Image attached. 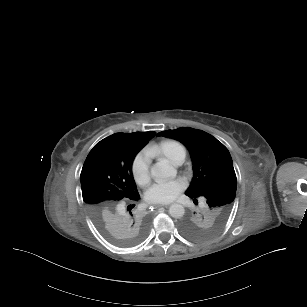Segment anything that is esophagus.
<instances>
[{
	"instance_id": "obj_1",
	"label": "esophagus",
	"mask_w": 307,
	"mask_h": 307,
	"mask_svg": "<svg viewBox=\"0 0 307 307\" xmlns=\"http://www.w3.org/2000/svg\"><path fill=\"white\" fill-rule=\"evenodd\" d=\"M153 207L154 208H160V207H163V205L162 204H154Z\"/></svg>"
}]
</instances>
